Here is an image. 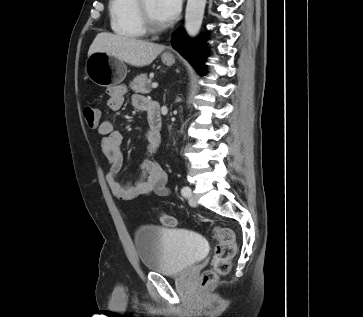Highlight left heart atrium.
Here are the masks:
<instances>
[{
	"label": "left heart atrium",
	"mask_w": 363,
	"mask_h": 317,
	"mask_svg": "<svg viewBox=\"0 0 363 317\" xmlns=\"http://www.w3.org/2000/svg\"><path fill=\"white\" fill-rule=\"evenodd\" d=\"M157 13L163 23L172 22L178 15L182 0H156Z\"/></svg>",
	"instance_id": "left-heart-atrium-1"
}]
</instances>
